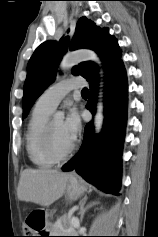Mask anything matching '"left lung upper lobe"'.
Masks as SVG:
<instances>
[{"label":"left lung upper lobe","mask_w":158,"mask_h":237,"mask_svg":"<svg viewBox=\"0 0 158 237\" xmlns=\"http://www.w3.org/2000/svg\"><path fill=\"white\" fill-rule=\"evenodd\" d=\"M67 37L59 43L49 40L37 47L27 66L24 84L23 118L27 117L35 100L54 80L56 68L62 54L66 52ZM88 48L96 51L104 63L107 72L121 57L116 39L108 34V29H101L94 22L82 17L76 24V30L70 50ZM75 75H81L92 81L98 79V69L93 62H82L72 69Z\"/></svg>","instance_id":"1"}]
</instances>
